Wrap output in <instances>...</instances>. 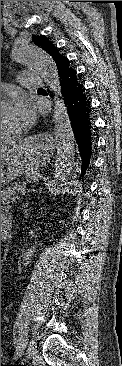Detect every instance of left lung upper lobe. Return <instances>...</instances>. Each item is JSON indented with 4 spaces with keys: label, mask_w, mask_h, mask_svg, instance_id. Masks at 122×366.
Masks as SVG:
<instances>
[{
    "label": "left lung upper lobe",
    "mask_w": 122,
    "mask_h": 366,
    "mask_svg": "<svg viewBox=\"0 0 122 366\" xmlns=\"http://www.w3.org/2000/svg\"><path fill=\"white\" fill-rule=\"evenodd\" d=\"M33 42L35 43V45H37L38 47H41L43 50H45L50 56H52V58L54 59V61L57 63L59 61L60 58H62L63 56L59 53L57 47H55L53 44H51V42L44 36V35H40V36H33L32 37Z\"/></svg>",
    "instance_id": "obj_1"
}]
</instances>
